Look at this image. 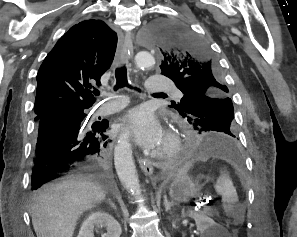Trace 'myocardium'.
Here are the masks:
<instances>
[{
    "mask_svg": "<svg viewBox=\"0 0 297 237\" xmlns=\"http://www.w3.org/2000/svg\"><path fill=\"white\" fill-rule=\"evenodd\" d=\"M163 146L154 152V156L161 161L174 159L182 150V139L174 129H167L164 133Z\"/></svg>",
    "mask_w": 297,
    "mask_h": 237,
    "instance_id": "1",
    "label": "myocardium"
}]
</instances>
